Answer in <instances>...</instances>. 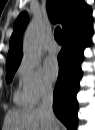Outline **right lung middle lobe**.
Listing matches in <instances>:
<instances>
[{
  "label": "right lung middle lobe",
  "mask_w": 95,
  "mask_h": 130,
  "mask_svg": "<svg viewBox=\"0 0 95 130\" xmlns=\"http://www.w3.org/2000/svg\"><path fill=\"white\" fill-rule=\"evenodd\" d=\"M17 68L6 70V81L11 82Z\"/></svg>",
  "instance_id": "obj_1"
}]
</instances>
